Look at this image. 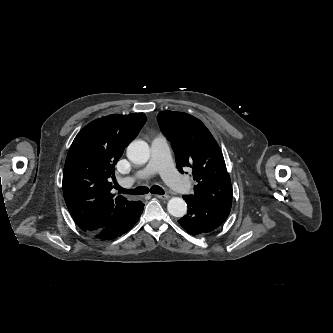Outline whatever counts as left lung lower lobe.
<instances>
[{"mask_svg": "<svg viewBox=\"0 0 333 333\" xmlns=\"http://www.w3.org/2000/svg\"><path fill=\"white\" fill-rule=\"evenodd\" d=\"M188 206L187 214L178 222L191 235L208 233L225 222L230 209L205 204L192 195H184Z\"/></svg>", "mask_w": 333, "mask_h": 333, "instance_id": "0a47b994", "label": "left lung lower lobe"}]
</instances>
